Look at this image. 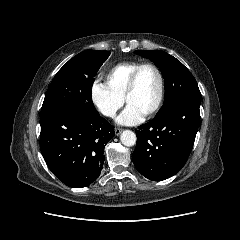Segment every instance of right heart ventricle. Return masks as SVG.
I'll use <instances>...</instances> for the list:
<instances>
[{"instance_id":"right-heart-ventricle-1","label":"right heart ventricle","mask_w":240,"mask_h":240,"mask_svg":"<svg viewBox=\"0 0 240 240\" xmlns=\"http://www.w3.org/2000/svg\"><path fill=\"white\" fill-rule=\"evenodd\" d=\"M137 61H124L111 67L105 74L106 83L121 97H124L129 78L140 65Z\"/></svg>"}]
</instances>
